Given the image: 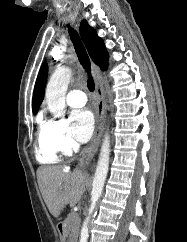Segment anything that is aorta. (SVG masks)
<instances>
[{
  "instance_id": "obj_1",
  "label": "aorta",
  "mask_w": 187,
  "mask_h": 242,
  "mask_svg": "<svg viewBox=\"0 0 187 242\" xmlns=\"http://www.w3.org/2000/svg\"><path fill=\"white\" fill-rule=\"evenodd\" d=\"M71 76L72 71L70 68L57 67L47 84L45 91L46 103L49 111L54 115V117H62L64 115L65 95ZM109 159L110 136L108 132H106L102 141L99 159L92 183L91 206L89 209V215L86 218L81 232V242H87L88 240V224L90 222L91 215L94 212L96 203L103 191L108 173Z\"/></svg>"
}]
</instances>
